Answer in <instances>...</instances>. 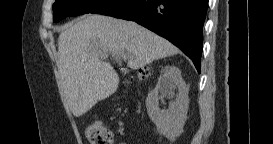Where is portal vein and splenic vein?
<instances>
[{"label":"portal vein and splenic vein","mask_w":273,"mask_h":144,"mask_svg":"<svg viewBox=\"0 0 273 144\" xmlns=\"http://www.w3.org/2000/svg\"><path fill=\"white\" fill-rule=\"evenodd\" d=\"M121 55H122L123 57H125V58L128 57V54H127L126 52H124V51L121 53Z\"/></svg>","instance_id":"obj_1"}]
</instances>
